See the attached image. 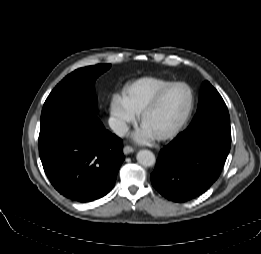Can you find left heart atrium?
<instances>
[{
	"label": "left heart atrium",
	"instance_id": "1",
	"mask_svg": "<svg viewBox=\"0 0 261 254\" xmlns=\"http://www.w3.org/2000/svg\"><path fill=\"white\" fill-rule=\"evenodd\" d=\"M133 138L137 142L144 143L151 139V135H149L143 128L138 132L134 133Z\"/></svg>",
	"mask_w": 261,
	"mask_h": 254
}]
</instances>
